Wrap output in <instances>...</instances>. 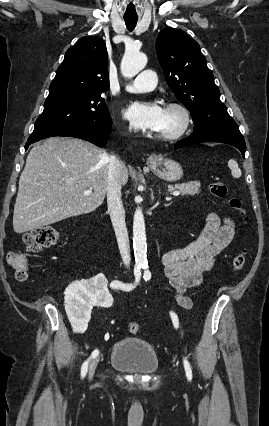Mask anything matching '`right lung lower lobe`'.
I'll return each instance as SVG.
<instances>
[{
	"label": "right lung lower lobe",
	"instance_id": "right-lung-lower-lobe-1",
	"mask_svg": "<svg viewBox=\"0 0 269 426\" xmlns=\"http://www.w3.org/2000/svg\"><path fill=\"white\" fill-rule=\"evenodd\" d=\"M112 121L106 124H81L67 130L52 132L34 140H28L25 145V150L34 142L52 136H69L87 140L99 147H103L111 133Z\"/></svg>",
	"mask_w": 269,
	"mask_h": 426
}]
</instances>
